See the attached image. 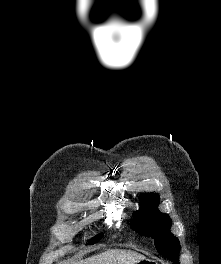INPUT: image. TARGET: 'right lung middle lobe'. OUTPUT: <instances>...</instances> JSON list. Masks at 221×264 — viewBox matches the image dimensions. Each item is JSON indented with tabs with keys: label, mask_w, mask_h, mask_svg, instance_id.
Returning <instances> with one entry per match:
<instances>
[{
	"label": "right lung middle lobe",
	"mask_w": 221,
	"mask_h": 264,
	"mask_svg": "<svg viewBox=\"0 0 221 264\" xmlns=\"http://www.w3.org/2000/svg\"><path fill=\"white\" fill-rule=\"evenodd\" d=\"M102 237H103V234L101 233V234H99V235L93 237V238L91 239V241H90L88 244H89V245H90V244H94L95 242H97L98 240H100Z\"/></svg>",
	"instance_id": "right-lung-middle-lobe-1"
}]
</instances>
